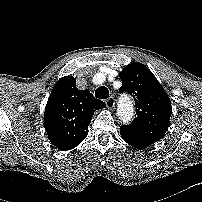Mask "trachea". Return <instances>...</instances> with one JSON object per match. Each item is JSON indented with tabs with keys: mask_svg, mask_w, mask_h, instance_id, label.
<instances>
[{
	"mask_svg": "<svg viewBox=\"0 0 202 202\" xmlns=\"http://www.w3.org/2000/svg\"><path fill=\"white\" fill-rule=\"evenodd\" d=\"M95 96L99 99H106L109 96V90L105 86H101L96 89Z\"/></svg>",
	"mask_w": 202,
	"mask_h": 202,
	"instance_id": "obj_1",
	"label": "trachea"
}]
</instances>
